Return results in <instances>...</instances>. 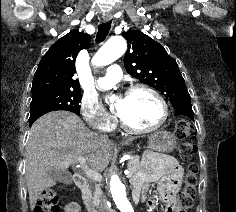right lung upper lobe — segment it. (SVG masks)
<instances>
[{
  "label": "right lung upper lobe",
  "mask_w": 236,
  "mask_h": 212,
  "mask_svg": "<svg viewBox=\"0 0 236 212\" xmlns=\"http://www.w3.org/2000/svg\"><path fill=\"white\" fill-rule=\"evenodd\" d=\"M90 36L71 30L57 40L39 62L32 85V94L51 90H80L75 60L82 49L88 48Z\"/></svg>",
  "instance_id": "1"
}]
</instances>
